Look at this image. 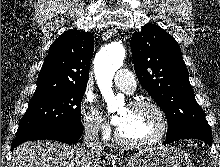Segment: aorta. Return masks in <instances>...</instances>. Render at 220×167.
Wrapping results in <instances>:
<instances>
[{
  "mask_svg": "<svg viewBox=\"0 0 220 167\" xmlns=\"http://www.w3.org/2000/svg\"><path fill=\"white\" fill-rule=\"evenodd\" d=\"M124 58L125 49L121 42H113L101 49L94 59L95 79L107 103L108 112H114L123 102V99L114 96L112 80Z\"/></svg>",
  "mask_w": 220,
  "mask_h": 167,
  "instance_id": "762f6f07",
  "label": "aorta"
}]
</instances>
